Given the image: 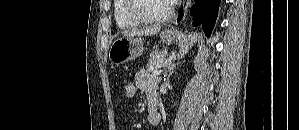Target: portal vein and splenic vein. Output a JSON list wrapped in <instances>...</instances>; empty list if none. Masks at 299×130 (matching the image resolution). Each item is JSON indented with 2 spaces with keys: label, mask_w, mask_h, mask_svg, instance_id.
<instances>
[{
  "label": "portal vein and splenic vein",
  "mask_w": 299,
  "mask_h": 130,
  "mask_svg": "<svg viewBox=\"0 0 299 130\" xmlns=\"http://www.w3.org/2000/svg\"><path fill=\"white\" fill-rule=\"evenodd\" d=\"M169 62H170V60H169ZM161 72H162V70H158V69H156V70L153 71L152 75H153V76H158V75L161 74Z\"/></svg>",
  "instance_id": "1"
}]
</instances>
